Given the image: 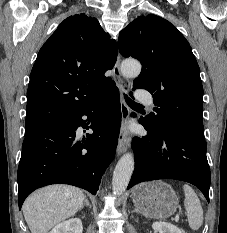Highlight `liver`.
<instances>
[{"mask_svg":"<svg viewBox=\"0 0 227 233\" xmlns=\"http://www.w3.org/2000/svg\"><path fill=\"white\" fill-rule=\"evenodd\" d=\"M85 198L83 192L73 186L51 185L37 190L22 207L31 233H48L81 210Z\"/></svg>","mask_w":227,"mask_h":233,"instance_id":"1","label":"liver"}]
</instances>
